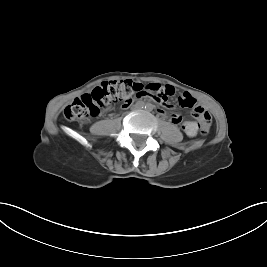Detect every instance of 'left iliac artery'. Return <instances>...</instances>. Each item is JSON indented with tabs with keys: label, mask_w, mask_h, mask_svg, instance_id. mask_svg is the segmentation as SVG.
<instances>
[{
	"label": "left iliac artery",
	"mask_w": 267,
	"mask_h": 267,
	"mask_svg": "<svg viewBox=\"0 0 267 267\" xmlns=\"http://www.w3.org/2000/svg\"><path fill=\"white\" fill-rule=\"evenodd\" d=\"M146 108H147V109H150L151 107H150V105H147Z\"/></svg>",
	"instance_id": "1"
}]
</instances>
